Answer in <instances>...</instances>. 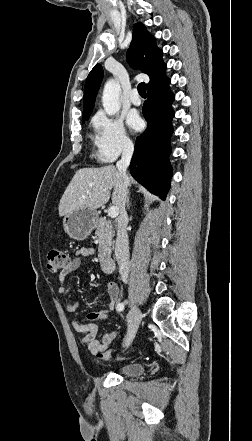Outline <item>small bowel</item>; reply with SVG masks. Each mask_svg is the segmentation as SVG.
I'll list each match as a JSON object with an SVG mask.
<instances>
[{
    "label": "small bowel",
    "instance_id": "small-bowel-1",
    "mask_svg": "<svg viewBox=\"0 0 252 441\" xmlns=\"http://www.w3.org/2000/svg\"><path fill=\"white\" fill-rule=\"evenodd\" d=\"M94 253V250L88 247H83L76 252L75 257L69 261L68 265L61 271L59 275V292L66 296L71 291V286L66 284V277L77 270L82 262V258L90 256ZM106 292L108 295V300L106 302V308L114 310L118 303L119 289L116 283L110 282L107 285ZM80 308V303L74 301L67 306V310L70 313L76 312ZM97 326L91 325L87 334L82 338L81 342L87 347L91 354L99 357V354L105 352L109 346L115 341V339L120 335L119 331L103 334L97 336Z\"/></svg>",
    "mask_w": 252,
    "mask_h": 441
}]
</instances>
